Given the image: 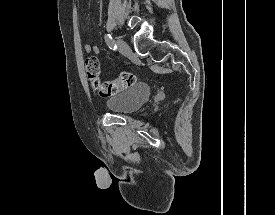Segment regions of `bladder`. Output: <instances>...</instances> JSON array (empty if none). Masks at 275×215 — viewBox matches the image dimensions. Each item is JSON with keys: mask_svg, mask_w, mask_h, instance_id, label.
<instances>
[{"mask_svg": "<svg viewBox=\"0 0 275 215\" xmlns=\"http://www.w3.org/2000/svg\"><path fill=\"white\" fill-rule=\"evenodd\" d=\"M150 96V87L139 83L127 90L114 93L106 102V106L115 114L128 115L145 104Z\"/></svg>", "mask_w": 275, "mask_h": 215, "instance_id": "bladder-1", "label": "bladder"}]
</instances>
